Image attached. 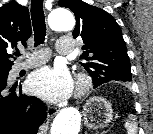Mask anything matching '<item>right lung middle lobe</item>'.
I'll return each mask as SVG.
<instances>
[{
	"instance_id": "dd1d6c3e",
	"label": "right lung middle lobe",
	"mask_w": 153,
	"mask_h": 134,
	"mask_svg": "<svg viewBox=\"0 0 153 134\" xmlns=\"http://www.w3.org/2000/svg\"><path fill=\"white\" fill-rule=\"evenodd\" d=\"M10 70H0V76H6V75H8V72H9Z\"/></svg>"
}]
</instances>
